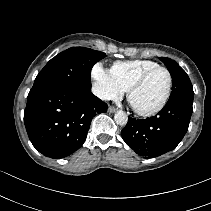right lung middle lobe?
I'll return each instance as SVG.
<instances>
[{
	"instance_id": "right-lung-middle-lobe-1",
	"label": "right lung middle lobe",
	"mask_w": 211,
	"mask_h": 211,
	"mask_svg": "<svg viewBox=\"0 0 211 211\" xmlns=\"http://www.w3.org/2000/svg\"><path fill=\"white\" fill-rule=\"evenodd\" d=\"M105 53L72 47L52 58L37 75L33 87L51 85L79 92L91 91V69Z\"/></svg>"
}]
</instances>
